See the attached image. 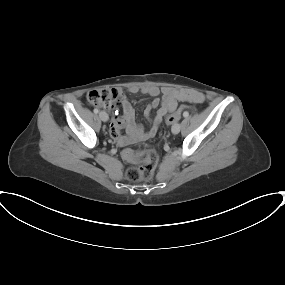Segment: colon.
Segmentation results:
<instances>
[{"instance_id": "colon-1", "label": "colon", "mask_w": 285, "mask_h": 285, "mask_svg": "<svg viewBox=\"0 0 285 285\" xmlns=\"http://www.w3.org/2000/svg\"><path fill=\"white\" fill-rule=\"evenodd\" d=\"M88 102L93 106H98L107 110H113L119 99L113 90H93L87 95ZM185 107L180 108L176 113L167 118L168 123L177 121L185 112ZM188 114V113H187ZM125 160L135 163V166L128 168L126 176L131 181L150 180L154 174V170L158 161V154L154 149H125L122 152Z\"/></svg>"}]
</instances>
